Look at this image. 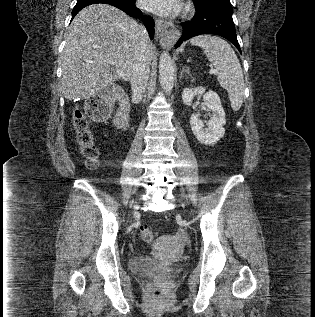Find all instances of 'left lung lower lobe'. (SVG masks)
<instances>
[{"mask_svg": "<svg viewBox=\"0 0 315 317\" xmlns=\"http://www.w3.org/2000/svg\"><path fill=\"white\" fill-rule=\"evenodd\" d=\"M232 13L233 11L196 7V14L193 19L181 23L183 33L175 47H179L183 41L197 35L215 34L229 40L241 53Z\"/></svg>", "mask_w": 315, "mask_h": 317, "instance_id": "1", "label": "left lung lower lobe"}]
</instances>
